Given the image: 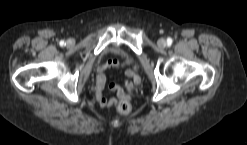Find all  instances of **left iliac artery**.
I'll use <instances>...</instances> for the list:
<instances>
[{
    "instance_id": "left-iliac-artery-1",
    "label": "left iliac artery",
    "mask_w": 247,
    "mask_h": 145,
    "mask_svg": "<svg viewBox=\"0 0 247 145\" xmlns=\"http://www.w3.org/2000/svg\"><path fill=\"white\" fill-rule=\"evenodd\" d=\"M172 42H173V40H172L171 38H168V39H167V44H168V45H171Z\"/></svg>"
}]
</instances>
